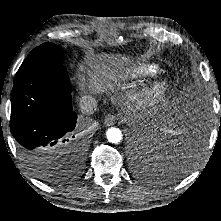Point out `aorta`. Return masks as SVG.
<instances>
[{
	"instance_id": "762f6f07",
	"label": "aorta",
	"mask_w": 221,
	"mask_h": 221,
	"mask_svg": "<svg viewBox=\"0 0 221 221\" xmlns=\"http://www.w3.org/2000/svg\"><path fill=\"white\" fill-rule=\"evenodd\" d=\"M107 140L112 144H118L122 141L123 135L120 129L111 127L106 132Z\"/></svg>"
}]
</instances>
